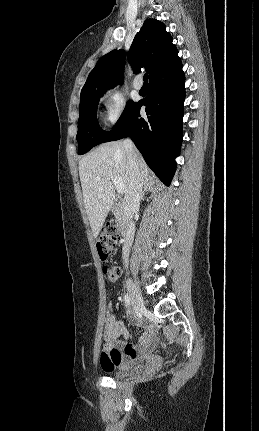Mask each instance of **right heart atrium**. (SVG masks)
Wrapping results in <instances>:
<instances>
[{"instance_id":"d8ad5b80","label":"right heart atrium","mask_w":259,"mask_h":431,"mask_svg":"<svg viewBox=\"0 0 259 431\" xmlns=\"http://www.w3.org/2000/svg\"><path fill=\"white\" fill-rule=\"evenodd\" d=\"M105 107L104 122L109 127L118 125L126 110V101L123 94L117 89H109L102 95Z\"/></svg>"}]
</instances>
